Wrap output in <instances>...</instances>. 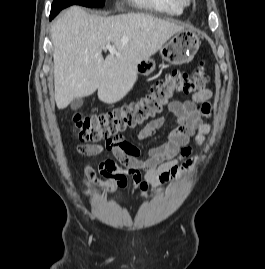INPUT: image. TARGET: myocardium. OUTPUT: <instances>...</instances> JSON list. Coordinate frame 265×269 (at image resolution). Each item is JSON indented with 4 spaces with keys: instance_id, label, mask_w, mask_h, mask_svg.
Instances as JSON below:
<instances>
[{
    "instance_id": "myocardium-1",
    "label": "myocardium",
    "mask_w": 265,
    "mask_h": 269,
    "mask_svg": "<svg viewBox=\"0 0 265 269\" xmlns=\"http://www.w3.org/2000/svg\"><path fill=\"white\" fill-rule=\"evenodd\" d=\"M182 7H187L192 3V0H177Z\"/></svg>"
}]
</instances>
